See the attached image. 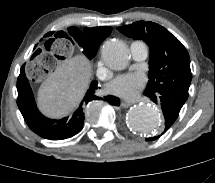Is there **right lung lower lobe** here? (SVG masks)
<instances>
[{
    "label": "right lung lower lobe",
    "mask_w": 215,
    "mask_h": 183,
    "mask_svg": "<svg viewBox=\"0 0 215 183\" xmlns=\"http://www.w3.org/2000/svg\"><path fill=\"white\" fill-rule=\"evenodd\" d=\"M99 88L98 82L92 81L79 107L72 115L59 120L49 119L37 109L31 87L25 76L24 66H22L17 80V105L25 122L33 132L45 139L63 140L76 135L82 130L84 112L89 102L103 100L111 105H120L119 98L115 96H98L96 92Z\"/></svg>",
    "instance_id": "right-lung-lower-lobe-1"
}]
</instances>
